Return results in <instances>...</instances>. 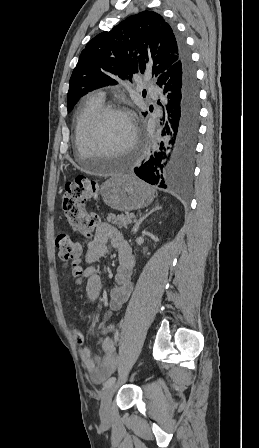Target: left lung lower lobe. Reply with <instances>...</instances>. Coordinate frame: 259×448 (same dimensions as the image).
<instances>
[{"label": "left lung lower lobe", "instance_id": "left-lung-lower-lobe-1", "mask_svg": "<svg viewBox=\"0 0 259 448\" xmlns=\"http://www.w3.org/2000/svg\"><path fill=\"white\" fill-rule=\"evenodd\" d=\"M177 37L182 47L181 57L157 82L168 99L163 113L165 142H161L159 152L134 169L140 179L171 191L183 190L191 181L199 123L195 70L183 38Z\"/></svg>", "mask_w": 259, "mask_h": 448}]
</instances>
